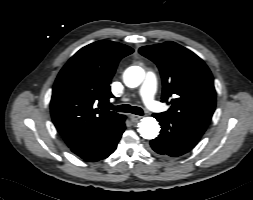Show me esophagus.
Returning a JSON list of instances; mask_svg holds the SVG:
<instances>
[{
	"instance_id": "esophagus-1",
	"label": "esophagus",
	"mask_w": 253,
	"mask_h": 200,
	"mask_svg": "<svg viewBox=\"0 0 253 200\" xmlns=\"http://www.w3.org/2000/svg\"><path fill=\"white\" fill-rule=\"evenodd\" d=\"M140 118H141V116H138V115H134V114H131V115H130V119H131V121H133V122L138 121Z\"/></svg>"
}]
</instances>
